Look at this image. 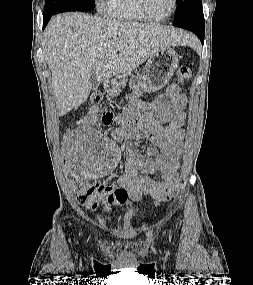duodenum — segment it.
Listing matches in <instances>:
<instances>
[{
  "label": "duodenum",
  "instance_id": "1",
  "mask_svg": "<svg viewBox=\"0 0 253 285\" xmlns=\"http://www.w3.org/2000/svg\"><path fill=\"white\" fill-rule=\"evenodd\" d=\"M104 87L106 88V90L108 91H113L114 90V84L111 81H105L104 83Z\"/></svg>",
  "mask_w": 253,
  "mask_h": 285
}]
</instances>
